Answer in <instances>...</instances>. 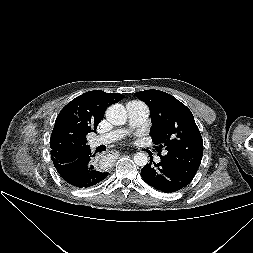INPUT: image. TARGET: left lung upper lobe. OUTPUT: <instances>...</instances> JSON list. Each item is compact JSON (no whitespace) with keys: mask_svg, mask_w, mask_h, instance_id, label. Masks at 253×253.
<instances>
[{"mask_svg":"<svg viewBox=\"0 0 253 253\" xmlns=\"http://www.w3.org/2000/svg\"><path fill=\"white\" fill-rule=\"evenodd\" d=\"M150 109V135L161 160L193 179L201 163L203 140L193 114L182 102L159 90L135 93ZM167 151L161 155V149Z\"/></svg>","mask_w":253,"mask_h":253,"instance_id":"5c2ea615","label":"left lung upper lobe"}]
</instances>
